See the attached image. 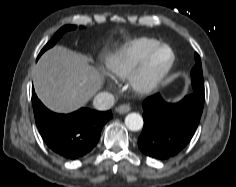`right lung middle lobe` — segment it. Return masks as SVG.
I'll list each match as a JSON object with an SVG mask.
<instances>
[{
    "label": "right lung middle lobe",
    "instance_id": "1",
    "mask_svg": "<svg viewBox=\"0 0 236 187\" xmlns=\"http://www.w3.org/2000/svg\"><path fill=\"white\" fill-rule=\"evenodd\" d=\"M75 28H76L75 25H66V26H63L62 28H60L58 30V32L53 36V38L44 46V48L41 50L39 56H41V54L45 50L53 47L66 31L73 30Z\"/></svg>",
    "mask_w": 236,
    "mask_h": 187
}]
</instances>
